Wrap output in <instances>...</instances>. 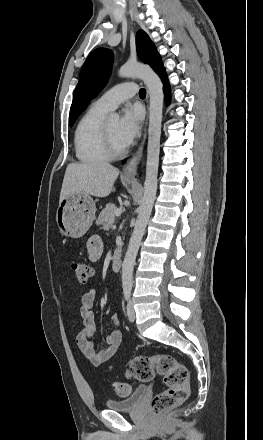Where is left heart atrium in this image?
<instances>
[{"label": "left heart atrium", "mask_w": 263, "mask_h": 440, "mask_svg": "<svg viewBox=\"0 0 263 440\" xmlns=\"http://www.w3.org/2000/svg\"><path fill=\"white\" fill-rule=\"evenodd\" d=\"M143 121V112L139 107L124 110L118 124V133L125 146L130 145L138 136Z\"/></svg>", "instance_id": "1"}]
</instances>
